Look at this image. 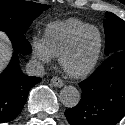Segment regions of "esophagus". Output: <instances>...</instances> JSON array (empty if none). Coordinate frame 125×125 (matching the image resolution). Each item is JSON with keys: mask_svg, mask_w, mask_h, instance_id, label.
<instances>
[{"mask_svg": "<svg viewBox=\"0 0 125 125\" xmlns=\"http://www.w3.org/2000/svg\"><path fill=\"white\" fill-rule=\"evenodd\" d=\"M51 83L53 86L58 87V88L64 85V82L59 77H53L51 79Z\"/></svg>", "mask_w": 125, "mask_h": 125, "instance_id": "34e87169", "label": "esophagus"}]
</instances>
